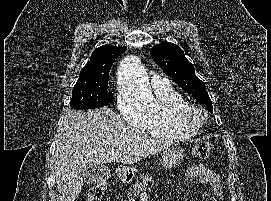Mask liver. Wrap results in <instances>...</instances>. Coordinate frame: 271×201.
Segmentation results:
<instances>
[{
	"label": "liver",
	"mask_w": 271,
	"mask_h": 201,
	"mask_svg": "<svg viewBox=\"0 0 271 201\" xmlns=\"http://www.w3.org/2000/svg\"><path fill=\"white\" fill-rule=\"evenodd\" d=\"M55 142L59 201H75L79 196L85 182L80 171L87 163L134 164L172 144L126 124L107 107L67 112Z\"/></svg>",
	"instance_id": "6515ba94"
}]
</instances>
